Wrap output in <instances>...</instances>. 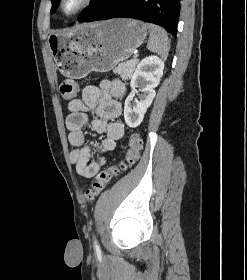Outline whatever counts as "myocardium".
<instances>
[{
  "mask_svg": "<svg viewBox=\"0 0 247 280\" xmlns=\"http://www.w3.org/2000/svg\"><path fill=\"white\" fill-rule=\"evenodd\" d=\"M68 1L69 0H60V4H59V10L65 18H73L77 16L86 8H88L93 2V0H79L77 7L74 10L68 12L66 11V4Z\"/></svg>",
  "mask_w": 247,
  "mask_h": 280,
  "instance_id": "f54148a6",
  "label": "myocardium"
}]
</instances>
